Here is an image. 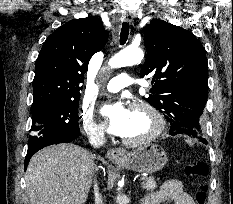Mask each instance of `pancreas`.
Masks as SVG:
<instances>
[{"label": "pancreas", "mask_w": 233, "mask_h": 204, "mask_svg": "<svg viewBox=\"0 0 233 204\" xmlns=\"http://www.w3.org/2000/svg\"><path fill=\"white\" fill-rule=\"evenodd\" d=\"M142 188L148 192H152L157 188V183L153 178H142Z\"/></svg>", "instance_id": "cf45deb5"}]
</instances>
